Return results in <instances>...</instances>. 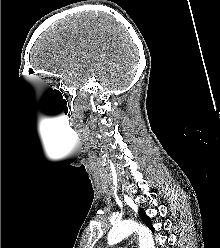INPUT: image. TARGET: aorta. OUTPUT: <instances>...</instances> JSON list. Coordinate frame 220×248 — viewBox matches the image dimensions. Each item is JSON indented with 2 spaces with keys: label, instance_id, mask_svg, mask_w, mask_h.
Returning <instances> with one entry per match:
<instances>
[{
  "label": "aorta",
  "instance_id": "aorta-1",
  "mask_svg": "<svg viewBox=\"0 0 220 248\" xmlns=\"http://www.w3.org/2000/svg\"><path fill=\"white\" fill-rule=\"evenodd\" d=\"M134 232H137L139 236V248H155L151 231L132 220H124L115 224L108 233V243L110 245L119 243Z\"/></svg>",
  "mask_w": 220,
  "mask_h": 248
}]
</instances>
